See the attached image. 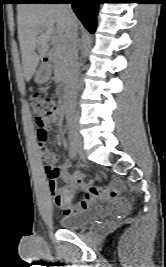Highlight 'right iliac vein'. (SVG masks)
I'll return each mask as SVG.
<instances>
[{"mask_svg": "<svg viewBox=\"0 0 166 267\" xmlns=\"http://www.w3.org/2000/svg\"><path fill=\"white\" fill-rule=\"evenodd\" d=\"M70 137L73 143L75 144L77 151L80 154H83V141L81 136L78 134L75 126H71L70 128Z\"/></svg>", "mask_w": 166, "mask_h": 267, "instance_id": "1", "label": "right iliac vein"}]
</instances>
